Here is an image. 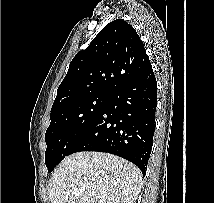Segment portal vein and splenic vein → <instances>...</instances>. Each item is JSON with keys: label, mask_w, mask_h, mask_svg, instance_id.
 <instances>
[{"label": "portal vein and splenic vein", "mask_w": 214, "mask_h": 203, "mask_svg": "<svg viewBox=\"0 0 214 203\" xmlns=\"http://www.w3.org/2000/svg\"><path fill=\"white\" fill-rule=\"evenodd\" d=\"M81 192H82L81 189H74V191H73L74 194H80Z\"/></svg>", "instance_id": "portal-vein-and-splenic-vein-1"}]
</instances>
